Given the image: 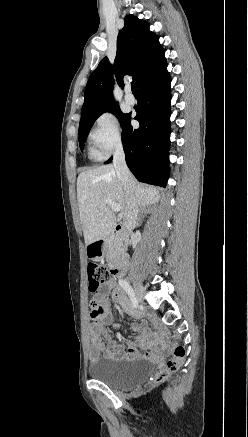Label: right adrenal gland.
<instances>
[{
	"label": "right adrenal gland",
	"instance_id": "2a0ac1e0",
	"mask_svg": "<svg viewBox=\"0 0 248 437\" xmlns=\"http://www.w3.org/2000/svg\"><path fill=\"white\" fill-rule=\"evenodd\" d=\"M149 213V208H142L139 218H138V222L137 225L141 224L142 219Z\"/></svg>",
	"mask_w": 248,
	"mask_h": 437
}]
</instances>
